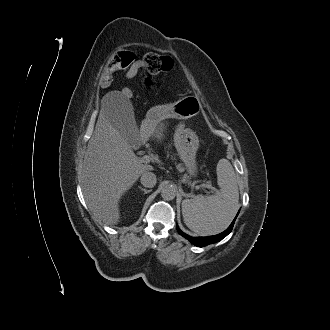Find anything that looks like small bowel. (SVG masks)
<instances>
[{"mask_svg":"<svg viewBox=\"0 0 330 330\" xmlns=\"http://www.w3.org/2000/svg\"><path fill=\"white\" fill-rule=\"evenodd\" d=\"M145 69L144 62L142 60H135L125 71V77L127 79L134 78L140 71ZM104 85L109 83L103 82Z\"/></svg>","mask_w":330,"mask_h":330,"instance_id":"small-bowel-1","label":"small bowel"}]
</instances>
